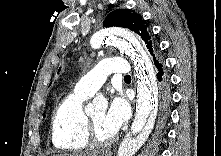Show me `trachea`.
<instances>
[{
    "instance_id": "obj_1",
    "label": "trachea",
    "mask_w": 221,
    "mask_h": 156,
    "mask_svg": "<svg viewBox=\"0 0 221 156\" xmlns=\"http://www.w3.org/2000/svg\"><path fill=\"white\" fill-rule=\"evenodd\" d=\"M125 78H130V76H129V75H126Z\"/></svg>"
}]
</instances>
